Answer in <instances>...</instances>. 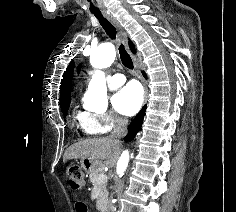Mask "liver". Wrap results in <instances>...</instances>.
<instances>
[{"label":"liver","instance_id":"6515ba94","mask_svg":"<svg viewBox=\"0 0 236 212\" xmlns=\"http://www.w3.org/2000/svg\"><path fill=\"white\" fill-rule=\"evenodd\" d=\"M121 143L111 137L92 138L71 145L64 153L63 162L70 159L89 158L101 164L106 160V166L113 167L120 153Z\"/></svg>","mask_w":236,"mask_h":212}]
</instances>
